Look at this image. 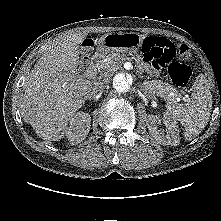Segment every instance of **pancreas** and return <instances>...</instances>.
<instances>
[{"label": "pancreas", "instance_id": "cf45deb5", "mask_svg": "<svg viewBox=\"0 0 221 221\" xmlns=\"http://www.w3.org/2000/svg\"><path fill=\"white\" fill-rule=\"evenodd\" d=\"M126 59L127 57L125 55L118 53L109 54L104 61L100 63V68L104 71H115ZM143 85L164 99L171 98L172 94H178V90L175 87L161 80L144 81Z\"/></svg>", "mask_w": 221, "mask_h": 221}]
</instances>
